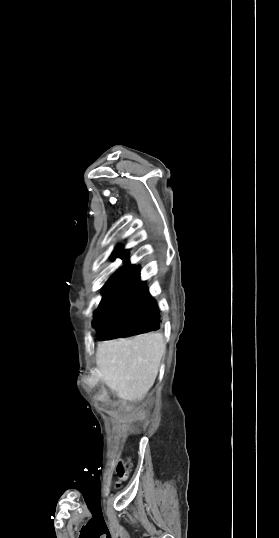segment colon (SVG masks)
Segmentation results:
<instances>
[{"label":"colon","mask_w":279,"mask_h":538,"mask_svg":"<svg viewBox=\"0 0 279 538\" xmlns=\"http://www.w3.org/2000/svg\"><path fill=\"white\" fill-rule=\"evenodd\" d=\"M117 475L120 479H124L128 473V467L126 463L120 462L116 469Z\"/></svg>","instance_id":"obj_1"}]
</instances>
